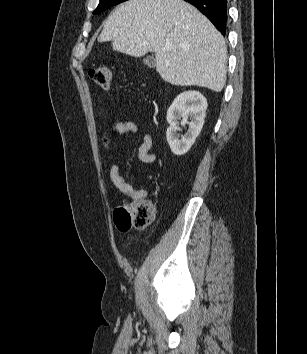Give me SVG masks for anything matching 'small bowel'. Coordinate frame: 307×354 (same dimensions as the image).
Returning a JSON list of instances; mask_svg holds the SVG:
<instances>
[{
	"label": "small bowel",
	"mask_w": 307,
	"mask_h": 354,
	"mask_svg": "<svg viewBox=\"0 0 307 354\" xmlns=\"http://www.w3.org/2000/svg\"><path fill=\"white\" fill-rule=\"evenodd\" d=\"M114 129L117 133H133L141 136L142 142L138 149V158L143 163H153L157 159V154L152 151L153 139L149 131L142 125L133 121H120L114 124ZM110 179L113 184L123 194L130 197L134 201L145 200L147 192L144 189H135L127 183L120 173L118 165V157L111 158Z\"/></svg>",
	"instance_id": "obj_1"
}]
</instances>
